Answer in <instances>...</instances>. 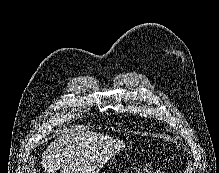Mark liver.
<instances>
[{
    "mask_svg": "<svg viewBox=\"0 0 219 173\" xmlns=\"http://www.w3.org/2000/svg\"><path fill=\"white\" fill-rule=\"evenodd\" d=\"M124 146L109 136L68 128L48 145L41 165L47 173H98Z\"/></svg>",
    "mask_w": 219,
    "mask_h": 173,
    "instance_id": "liver-1",
    "label": "liver"
}]
</instances>
